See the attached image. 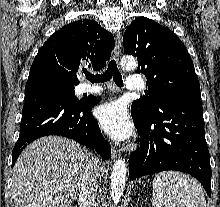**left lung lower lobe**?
I'll return each instance as SVG.
<instances>
[{
	"label": "left lung lower lobe",
	"instance_id": "left-lung-lower-lobe-1",
	"mask_svg": "<svg viewBox=\"0 0 220 207\" xmlns=\"http://www.w3.org/2000/svg\"><path fill=\"white\" fill-rule=\"evenodd\" d=\"M132 118L141 144L129 159L130 178L178 170L198 179L211 195L200 95L177 96L164 101L153 117L142 118L132 112Z\"/></svg>",
	"mask_w": 220,
	"mask_h": 207
}]
</instances>
